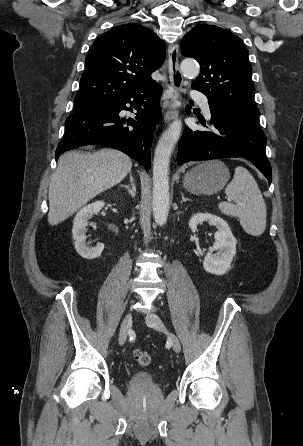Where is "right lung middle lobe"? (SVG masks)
Wrapping results in <instances>:
<instances>
[{
  "mask_svg": "<svg viewBox=\"0 0 303 446\" xmlns=\"http://www.w3.org/2000/svg\"><path fill=\"white\" fill-rule=\"evenodd\" d=\"M74 103H75L74 111L91 106V105H88L89 104L88 101L80 99V98H75Z\"/></svg>",
  "mask_w": 303,
  "mask_h": 446,
  "instance_id": "1",
  "label": "right lung middle lobe"
}]
</instances>
